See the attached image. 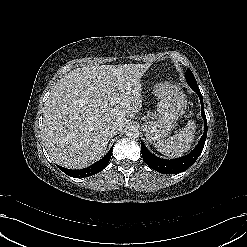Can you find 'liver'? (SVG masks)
I'll list each match as a JSON object with an SVG mask.
<instances>
[{"label": "liver", "mask_w": 247, "mask_h": 247, "mask_svg": "<svg viewBox=\"0 0 247 247\" xmlns=\"http://www.w3.org/2000/svg\"><path fill=\"white\" fill-rule=\"evenodd\" d=\"M150 66H85L60 79L43 114L42 138L51 160L70 169L99 160L111 138L107 126L117 123L122 129L140 111V81Z\"/></svg>", "instance_id": "obj_1"}]
</instances>
